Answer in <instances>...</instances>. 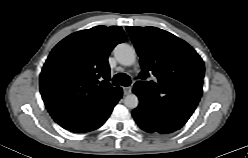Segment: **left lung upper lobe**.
<instances>
[{
    "label": "left lung upper lobe",
    "instance_id": "1",
    "mask_svg": "<svg viewBox=\"0 0 248 158\" xmlns=\"http://www.w3.org/2000/svg\"><path fill=\"white\" fill-rule=\"evenodd\" d=\"M126 30L140 56L143 80L133 92L140 104L168 122L182 127L196 109L202 96L204 62L185 41L156 27H131Z\"/></svg>",
    "mask_w": 248,
    "mask_h": 158
}]
</instances>
